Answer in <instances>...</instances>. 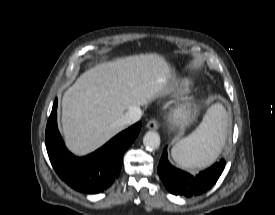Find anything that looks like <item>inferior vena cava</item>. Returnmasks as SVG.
<instances>
[{"label": "inferior vena cava", "mask_w": 275, "mask_h": 215, "mask_svg": "<svg viewBox=\"0 0 275 215\" xmlns=\"http://www.w3.org/2000/svg\"><path fill=\"white\" fill-rule=\"evenodd\" d=\"M142 111L139 107L130 108L120 119H118V125H132L140 120Z\"/></svg>", "instance_id": "inferior-vena-cava-1"}]
</instances>
